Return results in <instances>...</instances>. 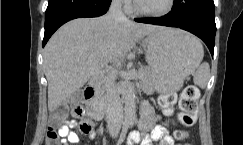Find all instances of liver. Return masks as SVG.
I'll return each mask as SVG.
<instances>
[{
	"label": "liver",
	"mask_w": 243,
	"mask_h": 145,
	"mask_svg": "<svg viewBox=\"0 0 243 145\" xmlns=\"http://www.w3.org/2000/svg\"><path fill=\"white\" fill-rule=\"evenodd\" d=\"M164 29L130 20L115 21L108 15L63 25L44 49L49 111L82 88L106 60L125 55L143 37Z\"/></svg>",
	"instance_id": "1"
}]
</instances>
